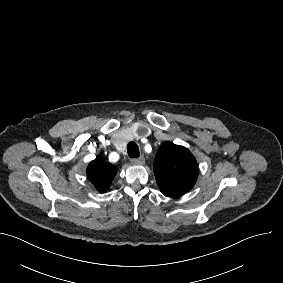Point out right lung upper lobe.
Returning a JSON list of instances; mask_svg holds the SVG:
<instances>
[{
  "instance_id": "1",
  "label": "right lung upper lobe",
  "mask_w": 283,
  "mask_h": 283,
  "mask_svg": "<svg viewBox=\"0 0 283 283\" xmlns=\"http://www.w3.org/2000/svg\"><path fill=\"white\" fill-rule=\"evenodd\" d=\"M86 173L97 190L106 192L117 173V168L98 156L88 165Z\"/></svg>"
}]
</instances>
